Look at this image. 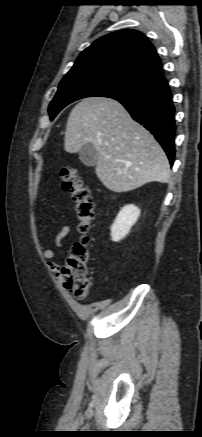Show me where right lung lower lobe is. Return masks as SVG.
I'll return each instance as SVG.
<instances>
[{"label":"right lung lower lobe","instance_id":"98d812e1","mask_svg":"<svg viewBox=\"0 0 202 437\" xmlns=\"http://www.w3.org/2000/svg\"><path fill=\"white\" fill-rule=\"evenodd\" d=\"M113 99L119 101L134 120L143 124L154 135L166 152L170 164L173 165L175 108L167 80L161 77L138 94L118 96Z\"/></svg>","mask_w":202,"mask_h":437}]
</instances>
